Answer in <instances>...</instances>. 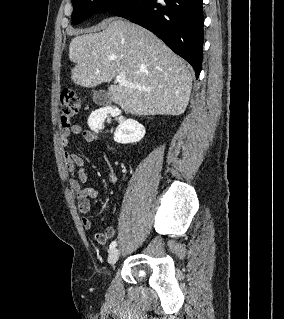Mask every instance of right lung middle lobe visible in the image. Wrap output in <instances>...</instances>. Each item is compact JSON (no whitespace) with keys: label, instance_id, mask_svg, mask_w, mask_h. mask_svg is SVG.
I'll list each match as a JSON object with an SVG mask.
<instances>
[{"label":"right lung middle lobe","instance_id":"dd1d6c3e","mask_svg":"<svg viewBox=\"0 0 284 319\" xmlns=\"http://www.w3.org/2000/svg\"><path fill=\"white\" fill-rule=\"evenodd\" d=\"M130 1L131 0H72L74 10L71 19L73 24L76 25L93 14L111 11Z\"/></svg>","mask_w":284,"mask_h":319}]
</instances>
